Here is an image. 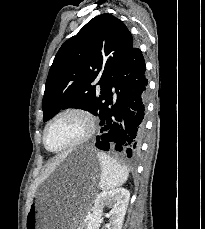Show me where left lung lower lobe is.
Returning <instances> with one entry per match:
<instances>
[{
  "label": "left lung lower lobe",
  "instance_id": "left-lung-lower-lobe-1",
  "mask_svg": "<svg viewBox=\"0 0 205 229\" xmlns=\"http://www.w3.org/2000/svg\"><path fill=\"white\" fill-rule=\"evenodd\" d=\"M145 60L140 49L133 46L120 64L109 89L107 106L100 116V134L96 147L123 152L128 158L135 157L141 147L146 110ZM112 87L117 98L113 101Z\"/></svg>",
  "mask_w": 205,
  "mask_h": 229
}]
</instances>
